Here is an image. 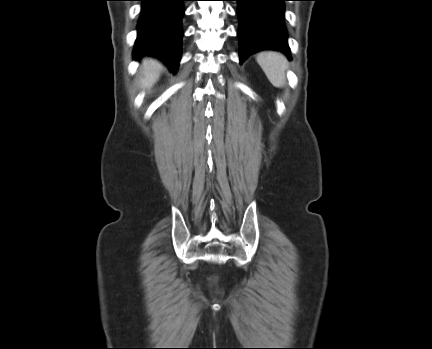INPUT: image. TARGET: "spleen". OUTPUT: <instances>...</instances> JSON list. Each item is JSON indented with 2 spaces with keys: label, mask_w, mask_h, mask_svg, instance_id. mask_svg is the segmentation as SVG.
Returning a JSON list of instances; mask_svg holds the SVG:
<instances>
[{
  "label": "spleen",
  "mask_w": 432,
  "mask_h": 349,
  "mask_svg": "<svg viewBox=\"0 0 432 349\" xmlns=\"http://www.w3.org/2000/svg\"><path fill=\"white\" fill-rule=\"evenodd\" d=\"M256 61L274 87L282 88L285 85L288 60L284 55L275 51H264L256 56Z\"/></svg>",
  "instance_id": "spleen-1"
}]
</instances>
